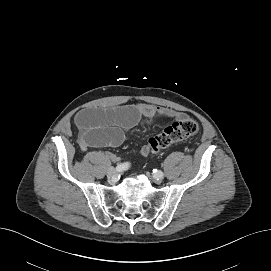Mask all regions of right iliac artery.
<instances>
[{
  "mask_svg": "<svg viewBox=\"0 0 271 271\" xmlns=\"http://www.w3.org/2000/svg\"><path fill=\"white\" fill-rule=\"evenodd\" d=\"M130 164L128 162L118 164L116 166V171L117 172H123L129 168Z\"/></svg>",
  "mask_w": 271,
  "mask_h": 271,
  "instance_id": "82829eb1",
  "label": "right iliac artery"
}]
</instances>
